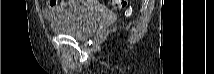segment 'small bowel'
Wrapping results in <instances>:
<instances>
[{
  "mask_svg": "<svg viewBox=\"0 0 214 74\" xmlns=\"http://www.w3.org/2000/svg\"><path fill=\"white\" fill-rule=\"evenodd\" d=\"M65 6H72V5L71 4L70 5H61V4H58L56 2H54V3L50 2L44 8L43 14L48 19L54 18L56 16V14L59 12V10Z\"/></svg>",
  "mask_w": 214,
  "mask_h": 74,
  "instance_id": "c3829d8e",
  "label": "small bowel"
}]
</instances>
